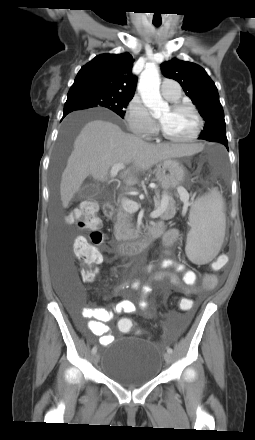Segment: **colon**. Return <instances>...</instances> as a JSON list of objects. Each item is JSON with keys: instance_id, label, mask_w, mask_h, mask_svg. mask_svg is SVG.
<instances>
[{"instance_id": "1", "label": "colon", "mask_w": 255, "mask_h": 440, "mask_svg": "<svg viewBox=\"0 0 255 440\" xmlns=\"http://www.w3.org/2000/svg\"><path fill=\"white\" fill-rule=\"evenodd\" d=\"M69 223L88 232V239L77 237L74 242L76 256L83 261L87 269L82 275L86 282L93 280L96 266L102 262V255L98 246L104 243L105 235L101 231V220L97 216V205L93 201H85L68 218ZM213 275H207L206 279ZM193 298H178L177 303L180 311H194ZM119 330L123 333L131 331L134 322L131 318H122L118 322Z\"/></svg>"}]
</instances>
